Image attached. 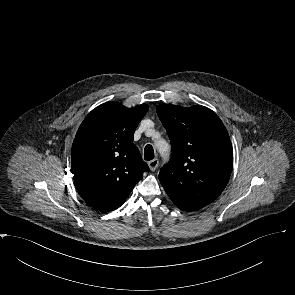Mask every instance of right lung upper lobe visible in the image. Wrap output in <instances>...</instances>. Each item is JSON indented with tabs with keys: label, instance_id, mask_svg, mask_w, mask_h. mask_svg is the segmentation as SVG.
Listing matches in <instances>:
<instances>
[{
	"label": "right lung upper lobe",
	"instance_id": "1",
	"mask_svg": "<svg viewBox=\"0 0 295 295\" xmlns=\"http://www.w3.org/2000/svg\"><path fill=\"white\" fill-rule=\"evenodd\" d=\"M141 104L127 108L106 102L82 122L71 150L76 189L83 200L100 211L119 208L149 170L133 143L135 129L148 111Z\"/></svg>",
	"mask_w": 295,
	"mask_h": 295
}]
</instances>
